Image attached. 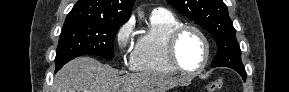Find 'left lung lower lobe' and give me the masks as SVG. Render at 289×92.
Here are the masks:
<instances>
[{
	"label": "left lung lower lobe",
	"mask_w": 289,
	"mask_h": 92,
	"mask_svg": "<svg viewBox=\"0 0 289 92\" xmlns=\"http://www.w3.org/2000/svg\"><path fill=\"white\" fill-rule=\"evenodd\" d=\"M235 71H237L240 74V76L243 78L244 81L246 80L247 74L245 69H236Z\"/></svg>",
	"instance_id": "1"
}]
</instances>
